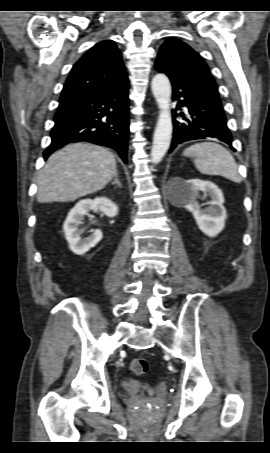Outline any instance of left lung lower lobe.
<instances>
[{"instance_id":"0a47b994","label":"left lung lower lobe","mask_w":270,"mask_h":453,"mask_svg":"<svg viewBox=\"0 0 270 453\" xmlns=\"http://www.w3.org/2000/svg\"><path fill=\"white\" fill-rule=\"evenodd\" d=\"M155 67L159 72L165 73L172 82L173 99L178 100L173 118L177 117L175 111L183 106L187 107L189 112V117L183 121L173 120L174 133L169 152L180 143L204 138L219 139L231 146L232 135L228 130L219 97L181 81L161 65L155 64ZM180 115L183 116V113ZM230 148L235 151L232 146Z\"/></svg>"}]
</instances>
